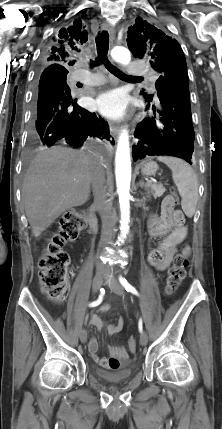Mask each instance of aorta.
<instances>
[{
	"mask_svg": "<svg viewBox=\"0 0 222 429\" xmlns=\"http://www.w3.org/2000/svg\"><path fill=\"white\" fill-rule=\"evenodd\" d=\"M112 58L123 64L127 65L131 61L130 51L124 47H115L111 51ZM115 174L117 193L119 196L120 210H121V238L120 241L126 237L129 230L130 221V182H131V158L129 147V134L127 129H123L119 135L117 142V150L115 156Z\"/></svg>",
	"mask_w": 222,
	"mask_h": 429,
	"instance_id": "1",
	"label": "aorta"
}]
</instances>
